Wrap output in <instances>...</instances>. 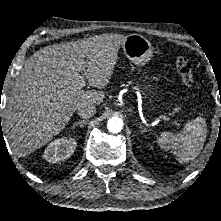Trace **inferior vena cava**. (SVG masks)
Instances as JSON below:
<instances>
[{"mask_svg": "<svg viewBox=\"0 0 221 221\" xmlns=\"http://www.w3.org/2000/svg\"><path fill=\"white\" fill-rule=\"evenodd\" d=\"M77 113L80 117L88 119L96 113V107L94 104H85L77 109Z\"/></svg>", "mask_w": 221, "mask_h": 221, "instance_id": "1", "label": "inferior vena cava"}]
</instances>
